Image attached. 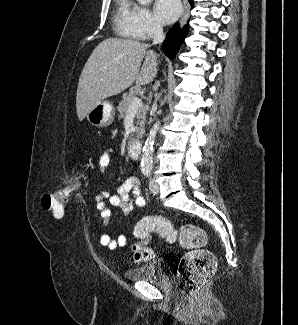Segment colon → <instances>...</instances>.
<instances>
[{
    "instance_id": "obj_1",
    "label": "colon",
    "mask_w": 298,
    "mask_h": 325,
    "mask_svg": "<svg viewBox=\"0 0 298 325\" xmlns=\"http://www.w3.org/2000/svg\"><path fill=\"white\" fill-rule=\"evenodd\" d=\"M85 178L84 174H78L71 185L46 192L41 198L42 208L52 212L54 217H62L67 199L82 187ZM154 232L167 242L178 243L187 249L178 267V280L187 296L197 295L210 281L217 266L214 255L204 248L207 243L204 230L193 224L176 229L163 216L143 217L133 229L137 241L132 245L131 251L136 262L148 261L154 257L149 246L150 234Z\"/></svg>"
}]
</instances>
